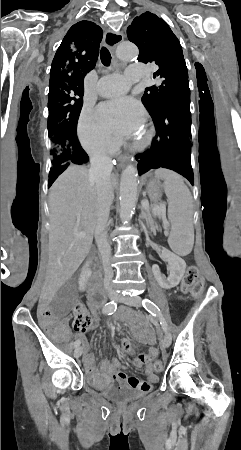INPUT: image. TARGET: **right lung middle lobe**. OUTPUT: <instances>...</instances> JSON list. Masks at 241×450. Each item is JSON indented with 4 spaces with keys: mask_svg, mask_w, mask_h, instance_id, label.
<instances>
[{
    "mask_svg": "<svg viewBox=\"0 0 241 450\" xmlns=\"http://www.w3.org/2000/svg\"><path fill=\"white\" fill-rule=\"evenodd\" d=\"M83 95L84 90L65 85L49 91L48 132L51 142L52 168L70 161V146L62 132L77 128Z\"/></svg>",
    "mask_w": 241,
    "mask_h": 450,
    "instance_id": "right-lung-middle-lobe-1",
    "label": "right lung middle lobe"
}]
</instances>
